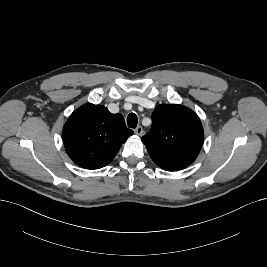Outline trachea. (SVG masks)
I'll list each match as a JSON object with an SVG mask.
<instances>
[{"label": "trachea", "mask_w": 267, "mask_h": 267, "mask_svg": "<svg viewBox=\"0 0 267 267\" xmlns=\"http://www.w3.org/2000/svg\"><path fill=\"white\" fill-rule=\"evenodd\" d=\"M138 119L135 113H130L127 117V125L130 128H136Z\"/></svg>", "instance_id": "1"}]
</instances>
